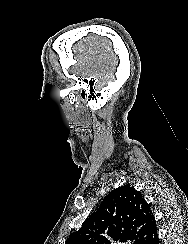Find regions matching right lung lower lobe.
<instances>
[{
  "mask_svg": "<svg viewBox=\"0 0 188 244\" xmlns=\"http://www.w3.org/2000/svg\"><path fill=\"white\" fill-rule=\"evenodd\" d=\"M143 244H159L156 226L151 229Z\"/></svg>",
  "mask_w": 188,
  "mask_h": 244,
  "instance_id": "right-lung-lower-lobe-1",
  "label": "right lung lower lobe"
}]
</instances>
